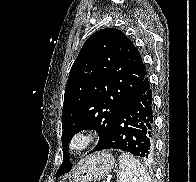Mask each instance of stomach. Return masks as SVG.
I'll use <instances>...</instances> for the list:
<instances>
[{
	"label": "stomach",
	"mask_w": 196,
	"mask_h": 182,
	"mask_svg": "<svg viewBox=\"0 0 196 182\" xmlns=\"http://www.w3.org/2000/svg\"><path fill=\"white\" fill-rule=\"evenodd\" d=\"M114 166L111 154L97 152L84 159L76 168L69 182H91L107 176Z\"/></svg>",
	"instance_id": "stomach-1"
}]
</instances>
